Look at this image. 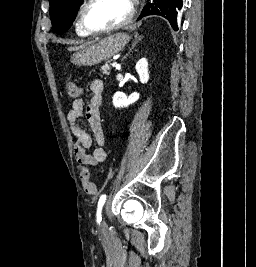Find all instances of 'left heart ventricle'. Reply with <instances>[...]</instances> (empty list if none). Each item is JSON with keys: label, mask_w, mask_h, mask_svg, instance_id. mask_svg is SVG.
<instances>
[{"label": "left heart ventricle", "mask_w": 256, "mask_h": 267, "mask_svg": "<svg viewBox=\"0 0 256 267\" xmlns=\"http://www.w3.org/2000/svg\"><path fill=\"white\" fill-rule=\"evenodd\" d=\"M126 5L115 0H97L87 9L88 22L95 28H106L127 19Z\"/></svg>", "instance_id": "b2bd125f"}]
</instances>
